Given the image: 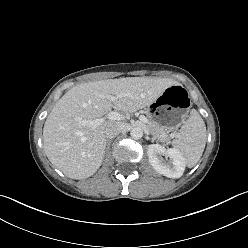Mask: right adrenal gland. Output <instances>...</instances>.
<instances>
[{"instance_id":"obj_1","label":"right adrenal gland","mask_w":248,"mask_h":248,"mask_svg":"<svg viewBox=\"0 0 248 248\" xmlns=\"http://www.w3.org/2000/svg\"><path fill=\"white\" fill-rule=\"evenodd\" d=\"M111 142H112V140H108V141H107V147H106L107 149H109V147H110V145H111Z\"/></svg>"}]
</instances>
